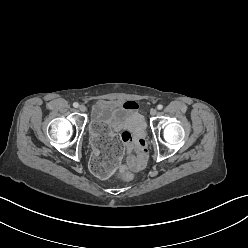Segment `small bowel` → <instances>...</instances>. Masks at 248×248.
I'll return each mask as SVG.
<instances>
[{
	"instance_id": "small-bowel-1",
	"label": "small bowel",
	"mask_w": 248,
	"mask_h": 248,
	"mask_svg": "<svg viewBox=\"0 0 248 248\" xmlns=\"http://www.w3.org/2000/svg\"><path fill=\"white\" fill-rule=\"evenodd\" d=\"M122 105L130 111V117L116 127L112 124H105L123 131L121 140L124 143L126 163L121 168L139 171L146 163L148 152L144 138V120L138 113V104L135 101L127 100Z\"/></svg>"
}]
</instances>
